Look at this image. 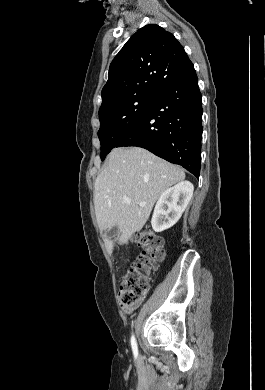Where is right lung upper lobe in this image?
Wrapping results in <instances>:
<instances>
[{"label": "right lung upper lobe", "instance_id": "obj_1", "mask_svg": "<svg viewBox=\"0 0 265 390\" xmlns=\"http://www.w3.org/2000/svg\"><path fill=\"white\" fill-rule=\"evenodd\" d=\"M192 62L182 45L164 28L150 24L139 29L109 67L100 110L137 94H156Z\"/></svg>", "mask_w": 265, "mask_h": 390}]
</instances>
